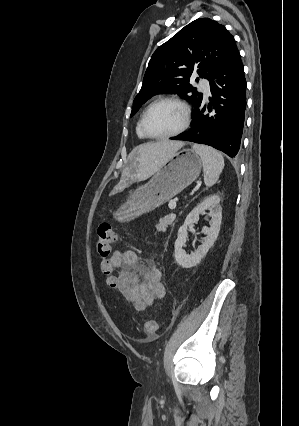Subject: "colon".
Listing matches in <instances>:
<instances>
[{
	"label": "colon",
	"mask_w": 299,
	"mask_h": 426,
	"mask_svg": "<svg viewBox=\"0 0 299 426\" xmlns=\"http://www.w3.org/2000/svg\"><path fill=\"white\" fill-rule=\"evenodd\" d=\"M116 241V234L109 223H101L97 229L96 250L102 258L101 269L107 278V283L112 288H118L117 278L113 275V269L107 260L112 252ZM158 323L156 320H149L144 325V331L148 338L153 339L157 335Z\"/></svg>",
	"instance_id": "5ec220e1"
}]
</instances>
